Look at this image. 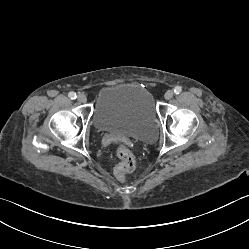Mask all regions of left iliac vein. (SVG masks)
<instances>
[{"label":"left iliac vein","mask_w":249,"mask_h":249,"mask_svg":"<svg viewBox=\"0 0 249 249\" xmlns=\"http://www.w3.org/2000/svg\"><path fill=\"white\" fill-rule=\"evenodd\" d=\"M173 95H174L173 91L168 90L167 92H165L164 97L166 100H170L173 97Z\"/></svg>","instance_id":"4c4485c4"}]
</instances>
